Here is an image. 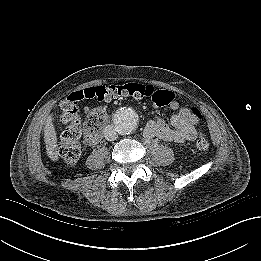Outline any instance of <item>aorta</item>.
<instances>
[{
    "mask_svg": "<svg viewBox=\"0 0 261 261\" xmlns=\"http://www.w3.org/2000/svg\"><path fill=\"white\" fill-rule=\"evenodd\" d=\"M113 123L118 133L122 135L130 134L138 127V112L133 107H121L114 113Z\"/></svg>",
    "mask_w": 261,
    "mask_h": 261,
    "instance_id": "obj_1",
    "label": "aorta"
}]
</instances>
